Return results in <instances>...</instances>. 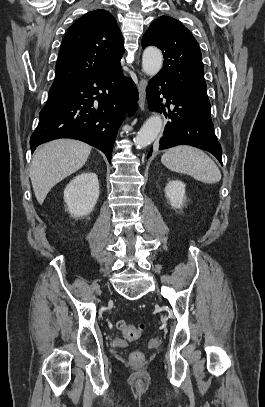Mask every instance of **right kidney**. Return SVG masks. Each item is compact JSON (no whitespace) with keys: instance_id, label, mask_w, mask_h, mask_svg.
I'll use <instances>...</instances> for the list:
<instances>
[{"instance_id":"obj_1","label":"right kidney","mask_w":265,"mask_h":407,"mask_svg":"<svg viewBox=\"0 0 265 407\" xmlns=\"http://www.w3.org/2000/svg\"><path fill=\"white\" fill-rule=\"evenodd\" d=\"M99 198L98 177L93 172L77 175L64 190V201L72 217L90 214Z\"/></svg>"}]
</instances>
